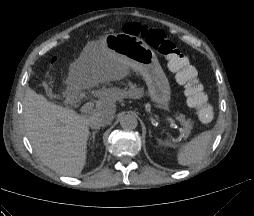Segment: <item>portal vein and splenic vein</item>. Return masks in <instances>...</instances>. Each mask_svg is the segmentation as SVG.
Masks as SVG:
<instances>
[{
  "label": "portal vein and splenic vein",
  "instance_id": "1",
  "mask_svg": "<svg viewBox=\"0 0 254 216\" xmlns=\"http://www.w3.org/2000/svg\"><path fill=\"white\" fill-rule=\"evenodd\" d=\"M93 107H94V104H93V103H86V104H84V105L81 107L80 112H81V114L87 113V112H89L90 110H92ZM166 119H167V121H168L169 123H171V124H173V125H175V126L178 127L176 120H174V119L171 118V117H166Z\"/></svg>",
  "mask_w": 254,
  "mask_h": 216
}]
</instances>
